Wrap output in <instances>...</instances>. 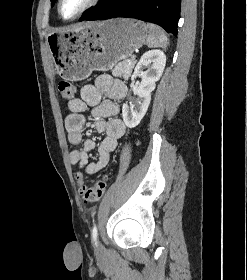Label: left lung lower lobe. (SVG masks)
<instances>
[{
    "mask_svg": "<svg viewBox=\"0 0 247 280\" xmlns=\"http://www.w3.org/2000/svg\"><path fill=\"white\" fill-rule=\"evenodd\" d=\"M181 0H109L85 14L83 20L129 17L155 23L177 36Z\"/></svg>",
    "mask_w": 247,
    "mask_h": 280,
    "instance_id": "obj_1",
    "label": "left lung lower lobe"
}]
</instances>
